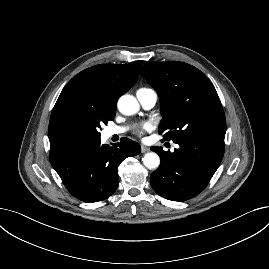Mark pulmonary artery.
I'll list each match as a JSON object with an SVG mask.
<instances>
[{"mask_svg": "<svg viewBox=\"0 0 269 269\" xmlns=\"http://www.w3.org/2000/svg\"><path fill=\"white\" fill-rule=\"evenodd\" d=\"M137 98L142 107L147 110L153 108L157 102V94L151 89L137 91ZM124 131V127H111L107 129L106 134L108 136H113L121 134Z\"/></svg>", "mask_w": 269, "mask_h": 269, "instance_id": "obj_1", "label": "pulmonary artery"}]
</instances>
